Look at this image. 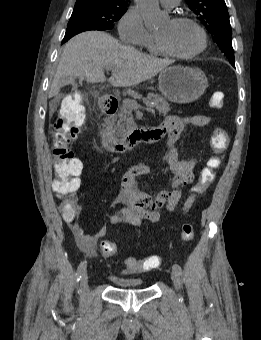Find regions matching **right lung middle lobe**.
Returning <instances> with one entry per match:
<instances>
[{"label":"right lung middle lobe","mask_w":261,"mask_h":340,"mask_svg":"<svg viewBox=\"0 0 261 340\" xmlns=\"http://www.w3.org/2000/svg\"><path fill=\"white\" fill-rule=\"evenodd\" d=\"M126 11L127 4L76 3L68 27L72 25H87L101 31L112 29L114 22L119 20Z\"/></svg>","instance_id":"1"}]
</instances>
